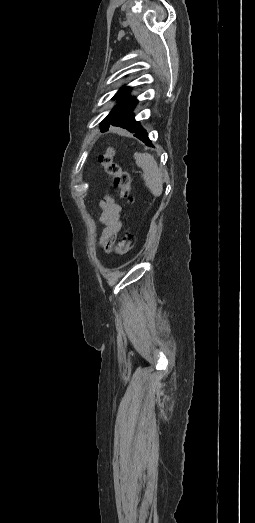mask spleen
<instances>
[{"instance_id": "spleen-1", "label": "spleen", "mask_w": 255, "mask_h": 523, "mask_svg": "<svg viewBox=\"0 0 255 523\" xmlns=\"http://www.w3.org/2000/svg\"><path fill=\"white\" fill-rule=\"evenodd\" d=\"M134 160H136L137 166H139V168H142L144 172V182L147 188H149L151 194H153V196H156V198H158V196H161L163 190V176L153 156H151V154H139V152H135Z\"/></svg>"}]
</instances>
